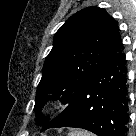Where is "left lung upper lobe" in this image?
I'll list each match as a JSON object with an SVG mask.
<instances>
[{
	"label": "left lung upper lobe",
	"instance_id": "5c2ea615",
	"mask_svg": "<svg viewBox=\"0 0 136 136\" xmlns=\"http://www.w3.org/2000/svg\"><path fill=\"white\" fill-rule=\"evenodd\" d=\"M117 22L102 8L88 7L71 16L55 34L35 99L37 122L45 125L39 111L50 99L70 103L83 84L105 60L118 36Z\"/></svg>",
	"mask_w": 136,
	"mask_h": 136
}]
</instances>
